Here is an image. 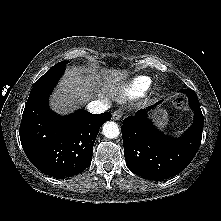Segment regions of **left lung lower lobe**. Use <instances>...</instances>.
I'll return each mask as SVG.
<instances>
[{"instance_id":"1","label":"left lung lower lobe","mask_w":221,"mask_h":221,"mask_svg":"<svg viewBox=\"0 0 221 221\" xmlns=\"http://www.w3.org/2000/svg\"><path fill=\"white\" fill-rule=\"evenodd\" d=\"M180 91L186 94L195 111L194 122L182 137H168L155 128L148 118V111L155 106L139 110L123 121L124 156L134 174L153 180L169 178L185 169L196 155L204 118L196 93L190 89Z\"/></svg>"}]
</instances>
